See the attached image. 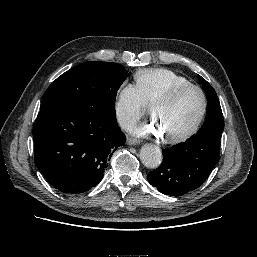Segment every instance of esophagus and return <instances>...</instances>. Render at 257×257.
Returning <instances> with one entry per match:
<instances>
[{
    "instance_id": "esophagus-1",
    "label": "esophagus",
    "mask_w": 257,
    "mask_h": 257,
    "mask_svg": "<svg viewBox=\"0 0 257 257\" xmlns=\"http://www.w3.org/2000/svg\"><path fill=\"white\" fill-rule=\"evenodd\" d=\"M127 144L128 145H138L140 144V140L132 137L127 138Z\"/></svg>"
}]
</instances>
